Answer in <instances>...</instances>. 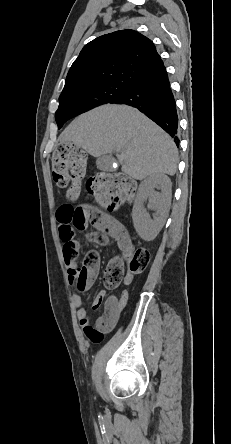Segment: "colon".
<instances>
[{"label":"colon","instance_id":"colon-1","mask_svg":"<svg viewBox=\"0 0 231 444\" xmlns=\"http://www.w3.org/2000/svg\"><path fill=\"white\" fill-rule=\"evenodd\" d=\"M52 175L60 188L67 190L70 199L76 198L80 191L85 174V156L83 152L69 144L59 145L52 155ZM87 190L92 193L100 206L107 211L116 210L122 203L130 200L136 190L133 179L121 173L99 174L86 183ZM101 212L96 209H83L72 206L66 211L63 220L74 229L85 230L93 226L100 218ZM66 264L73 263L77 254L74 250L64 253ZM150 262V252L145 248L135 250L122 248L108 264L104 273V283L109 289L117 288L122 282L125 270L130 274L142 273ZM99 267V254L90 250L86 253L83 264L77 270L75 286L80 292L91 285Z\"/></svg>","mask_w":231,"mask_h":444}]
</instances>
